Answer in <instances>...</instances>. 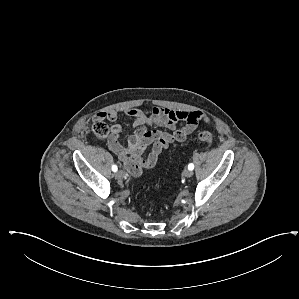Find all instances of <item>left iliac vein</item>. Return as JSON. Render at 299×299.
I'll return each instance as SVG.
<instances>
[{
    "mask_svg": "<svg viewBox=\"0 0 299 299\" xmlns=\"http://www.w3.org/2000/svg\"><path fill=\"white\" fill-rule=\"evenodd\" d=\"M183 175L187 178L191 177L193 175V172L189 169L184 170Z\"/></svg>",
    "mask_w": 299,
    "mask_h": 299,
    "instance_id": "4c4485c4",
    "label": "left iliac vein"
}]
</instances>
